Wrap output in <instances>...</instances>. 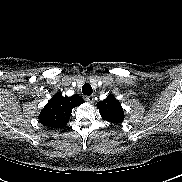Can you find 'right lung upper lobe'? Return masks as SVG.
Instances as JSON below:
<instances>
[{
    "label": "right lung upper lobe",
    "mask_w": 182,
    "mask_h": 182,
    "mask_svg": "<svg viewBox=\"0 0 182 182\" xmlns=\"http://www.w3.org/2000/svg\"><path fill=\"white\" fill-rule=\"evenodd\" d=\"M82 103L84 100L79 95L64 97L61 93H56L41 111L39 122L49 127H65L70 119L72 109Z\"/></svg>",
    "instance_id": "right-lung-upper-lobe-1"
}]
</instances>
